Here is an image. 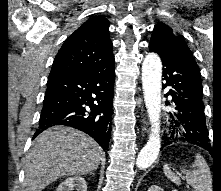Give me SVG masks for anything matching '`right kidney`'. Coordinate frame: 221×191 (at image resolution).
<instances>
[{"label": "right kidney", "mask_w": 221, "mask_h": 191, "mask_svg": "<svg viewBox=\"0 0 221 191\" xmlns=\"http://www.w3.org/2000/svg\"><path fill=\"white\" fill-rule=\"evenodd\" d=\"M87 191V184L83 177L74 176L64 180L57 188L56 191Z\"/></svg>", "instance_id": "right-kidney-1"}]
</instances>
